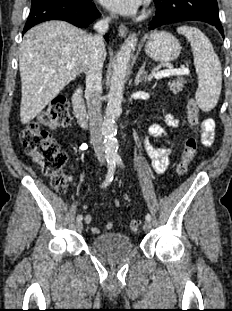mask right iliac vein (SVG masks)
I'll list each match as a JSON object with an SVG mask.
<instances>
[{"mask_svg":"<svg viewBox=\"0 0 232 311\" xmlns=\"http://www.w3.org/2000/svg\"><path fill=\"white\" fill-rule=\"evenodd\" d=\"M76 227H77V230H78V231H81L82 228H83V223H82V222H78V223L76 224Z\"/></svg>","mask_w":232,"mask_h":311,"instance_id":"1","label":"right iliac vein"}]
</instances>
